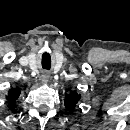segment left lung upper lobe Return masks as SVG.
Here are the masks:
<instances>
[{
  "label": "left lung upper lobe",
  "mask_w": 130,
  "mask_h": 130,
  "mask_svg": "<svg viewBox=\"0 0 130 130\" xmlns=\"http://www.w3.org/2000/svg\"><path fill=\"white\" fill-rule=\"evenodd\" d=\"M69 91V94L65 96L64 105L69 111H73L76 107V104L80 100V94H78L76 91Z\"/></svg>",
  "instance_id": "obj_1"
}]
</instances>
